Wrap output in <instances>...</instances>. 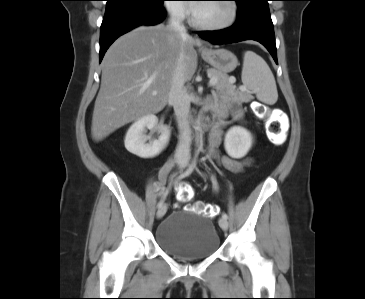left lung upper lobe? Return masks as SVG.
Masks as SVG:
<instances>
[{"label": "left lung upper lobe", "mask_w": 365, "mask_h": 299, "mask_svg": "<svg viewBox=\"0 0 365 299\" xmlns=\"http://www.w3.org/2000/svg\"><path fill=\"white\" fill-rule=\"evenodd\" d=\"M234 1H236V2H237V4H241V3L247 2V1H249V0H234Z\"/></svg>", "instance_id": "left-lung-upper-lobe-1"}]
</instances>
